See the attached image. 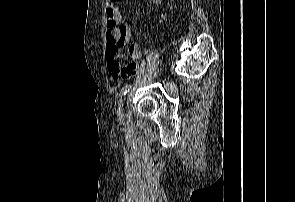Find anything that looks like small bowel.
Wrapping results in <instances>:
<instances>
[{
	"label": "small bowel",
	"mask_w": 295,
	"mask_h": 202,
	"mask_svg": "<svg viewBox=\"0 0 295 202\" xmlns=\"http://www.w3.org/2000/svg\"><path fill=\"white\" fill-rule=\"evenodd\" d=\"M151 3L156 6L160 7L162 0H150ZM106 14L108 21L109 20H116L117 22L122 21V15L115 7H106ZM119 38H121L120 47H109L107 42L106 47V58L108 59V68L111 76L115 80H119L125 75H131L137 71V67L132 65V63H119L120 55H119V48H124L129 44L131 31L128 24H122L118 28L115 29ZM129 54L133 59H140L144 56V51L135 44L129 45L128 48ZM123 56V54H121ZM130 68V69H129ZM123 72V73H122Z\"/></svg>",
	"instance_id": "c3829d8e"
}]
</instances>
